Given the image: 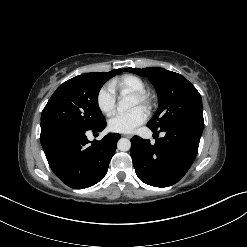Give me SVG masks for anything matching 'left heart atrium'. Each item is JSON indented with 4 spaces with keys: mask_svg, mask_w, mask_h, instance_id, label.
<instances>
[{
    "mask_svg": "<svg viewBox=\"0 0 247 247\" xmlns=\"http://www.w3.org/2000/svg\"><path fill=\"white\" fill-rule=\"evenodd\" d=\"M147 114L142 107H135L128 112L115 114L109 120V128L114 132L130 133L145 122Z\"/></svg>",
    "mask_w": 247,
    "mask_h": 247,
    "instance_id": "left-heart-atrium-1",
    "label": "left heart atrium"
}]
</instances>
